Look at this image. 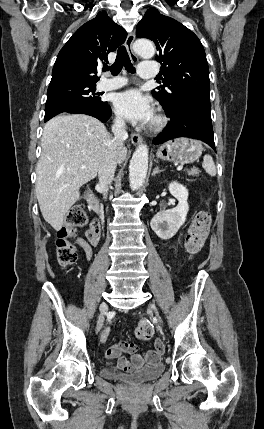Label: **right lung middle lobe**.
Segmentation results:
<instances>
[{
	"label": "right lung middle lobe",
	"mask_w": 264,
	"mask_h": 429,
	"mask_svg": "<svg viewBox=\"0 0 264 429\" xmlns=\"http://www.w3.org/2000/svg\"><path fill=\"white\" fill-rule=\"evenodd\" d=\"M106 102L95 93V84H66L48 88L44 121L70 108L87 106L101 108Z\"/></svg>",
	"instance_id": "dd1d6c3e"
}]
</instances>
